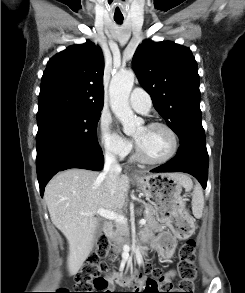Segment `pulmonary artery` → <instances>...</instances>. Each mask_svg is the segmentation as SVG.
<instances>
[{
	"mask_svg": "<svg viewBox=\"0 0 245 293\" xmlns=\"http://www.w3.org/2000/svg\"><path fill=\"white\" fill-rule=\"evenodd\" d=\"M129 103L135 111L142 114L148 113L152 105L149 93L139 87L131 92Z\"/></svg>",
	"mask_w": 245,
	"mask_h": 293,
	"instance_id": "obj_1",
	"label": "pulmonary artery"
}]
</instances>
